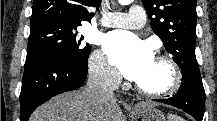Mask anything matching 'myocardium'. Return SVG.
<instances>
[{
  "instance_id": "f54148a6",
  "label": "myocardium",
  "mask_w": 217,
  "mask_h": 121,
  "mask_svg": "<svg viewBox=\"0 0 217 121\" xmlns=\"http://www.w3.org/2000/svg\"><path fill=\"white\" fill-rule=\"evenodd\" d=\"M155 60L163 63L169 70L170 79L167 84L159 89H148L137 82L135 83V89L143 96L148 98H166L179 91L183 83V74L180 66L174 58L169 55L160 54L155 57Z\"/></svg>"
}]
</instances>
